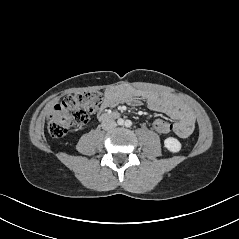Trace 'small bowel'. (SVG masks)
Listing matches in <instances>:
<instances>
[{
  "mask_svg": "<svg viewBox=\"0 0 239 239\" xmlns=\"http://www.w3.org/2000/svg\"><path fill=\"white\" fill-rule=\"evenodd\" d=\"M121 102L130 105L145 102L151 109L166 114L174 121L171 123L169 133H173L179 138H187L194 130L195 118L193 113L169 93L127 85L109 88L105 91L100 111L115 107Z\"/></svg>",
  "mask_w": 239,
  "mask_h": 239,
  "instance_id": "obj_1",
  "label": "small bowel"
}]
</instances>
